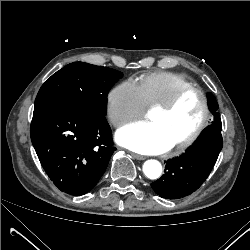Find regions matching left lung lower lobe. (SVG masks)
<instances>
[{"label": "left lung lower lobe", "mask_w": 250, "mask_h": 250, "mask_svg": "<svg viewBox=\"0 0 250 250\" xmlns=\"http://www.w3.org/2000/svg\"><path fill=\"white\" fill-rule=\"evenodd\" d=\"M220 129L208 127L181 156L167 161L165 174L151 184L166 199H178L194 192L210 174L222 149Z\"/></svg>", "instance_id": "1"}]
</instances>
